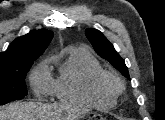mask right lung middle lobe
Wrapping results in <instances>:
<instances>
[{"label": "right lung middle lobe", "mask_w": 165, "mask_h": 120, "mask_svg": "<svg viewBox=\"0 0 165 120\" xmlns=\"http://www.w3.org/2000/svg\"><path fill=\"white\" fill-rule=\"evenodd\" d=\"M34 60L0 63V105L27 95L25 77Z\"/></svg>", "instance_id": "1"}]
</instances>
